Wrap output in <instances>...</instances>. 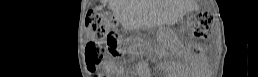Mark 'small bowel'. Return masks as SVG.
<instances>
[{
	"instance_id": "obj_1",
	"label": "small bowel",
	"mask_w": 258,
	"mask_h": 77,
	"mask_svg": "<svg viewBox=\"0 0 258 77\" xmlns=\"http://www.w3.org/2000/svg\"><path fill=\"white\" fill-rule=\"evenodd\" d=\"M197 67H198L197 61H196V59H193L192 60V68L196 69Z\"/></svg>"
}]
</instances>
